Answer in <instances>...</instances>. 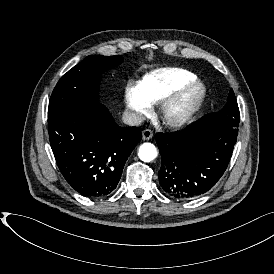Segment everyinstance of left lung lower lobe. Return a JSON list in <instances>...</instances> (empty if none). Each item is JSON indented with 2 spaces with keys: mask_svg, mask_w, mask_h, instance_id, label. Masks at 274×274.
Wrapping results in <instances>:
<instances>
[{
  "mask_svg": "<svg viewBox=\"0 0 274 274\" xmlns=\"http://www.w3.org/2000/svg\"><path fill=\"white\" fill-rule=\"evenodd\" d=\"M238 131L199 119L174 133L158 132L162 165L159 183L166 194L191 199L209 191L224 174Z\"/></svg>",
  "mask_w": 274,
  "mask_h": 274,
  "instance_id": "left-lung-lower-lobe-1",
  "label": "left lung lower lobe"
}]
</instances>
